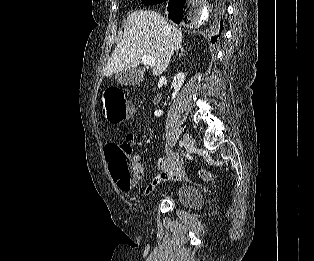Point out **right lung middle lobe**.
<instances>
[{"instance_id":"1","label":"right lung middle lobe","mask_w":314,"mask_h":261,"mask_svg":"<svg viewBox=\"0 0 314 261\" xmlns=\"http://www.w3.org/2000/svg\"><path fill=\"white\" fill-rule=\"evenodd\" d=\"M162 0H142V3L144 5H153V4H157L159 2H161Z\"/></svg>"}]
</instances>
